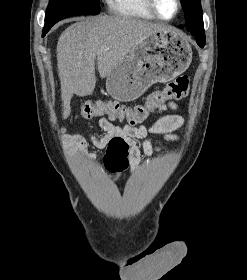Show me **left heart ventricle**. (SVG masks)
<instances>
[{"mask_svg":"<svg viewBox=\"0 0 247 280\" xmlns=\"http://www.w3.org/2000/svg\"><path fill=\"white\" fill-rule=\"evenodd\" d=\"M158 13L164 18H171L176 12L175 0H155Z\"/></svg>","mask_w":247,"mask_h":280,"instance_id":"left-heart-ventricle-1","label":"left heart ventricle"}]
</instances>
